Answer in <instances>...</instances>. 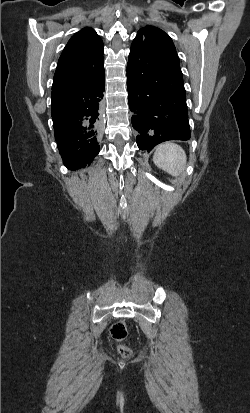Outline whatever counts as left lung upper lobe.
Segmentation results:
<instances>
[{"label": "left lung upper lobe", "instance_id": "left-lung-upper-lobe-1", "mask_svg": "<svg viewBox=\"0 0 250 413\" xmlns=\"http://www.w3.org/2000/svg\"><path fill=\"white\" fill-rule=\"evenodd\" d=\"M145 38H152L153 40H156L158 43H161V45L164 46L169 52L177 56L176 49L171 38L161 29L153 26H146L138 31L133 43H141ZM177 62H179V60H177Z\"/></svg>", "mask_w": 250, "mask_h": 413}]
</instances>
